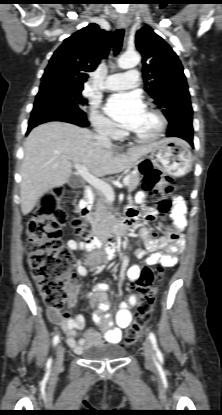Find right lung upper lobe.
<instances>
[{
	"instance_id": "cb5924a9",
	"label": "right lung upper lobe",
	"mask_w": 222,
	"mask_h": 415,
	"mask_svg": "<svg viewBox=\"0 0 222 415\" xmlns=\"http://www.w3.org/2000/svg\"><path fill=\"white\" fill-rule=\"evenodd\" d=\"M111 39V32L100 29L94 23L72 34L54 52L41 78V85L56 82L83 89L88 73L96 69L101 59L106 58Z\"/></svg>"
}]
</instances>
